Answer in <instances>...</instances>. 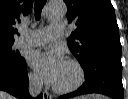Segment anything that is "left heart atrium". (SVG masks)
<instances>
[{
    "mask_svg": "<svg viewBox=\"0 0 128 99\" xmlns=\"http://www.w3.org/2000/svg\"><path fill=\"white\" fill-rule=\"evenodd\" d=\"M30 62L36 71L52 83H55L66 64L63 53L58 49L47 53L34 52Z\"/></svg>",
    "mask_w": 128,
    "mask_h": 99,
    "instance_id": "left-heart-atrium-1",
    "label": "left heart atrium"
}]
</instances>
